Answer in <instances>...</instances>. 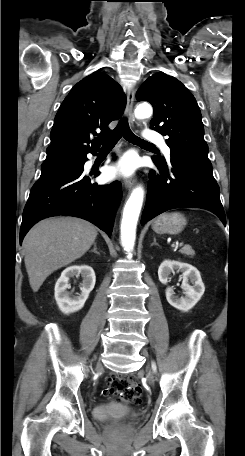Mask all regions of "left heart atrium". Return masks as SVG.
Returning a JSON list of instances; mask_svg holds the SVG:
<instances>
[{"instance_id":"left-heart-atrium-1","label":"left heart atrium","mask_w":245,"mask_h":456,"mask_svg":"<svg viewBox=\"0 0 245 456\" xmlns=\"http://www.w3.org/2000/svg\"><path fill=\"white\" fill-rule=\"evenodd\" d=\"M136 167V159L131 155H126L115 166L109 169L108 174L110 176L128 177L134 173Z\"/></svg>"}]
</instances>
